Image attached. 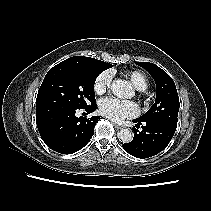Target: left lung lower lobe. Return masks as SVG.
Returning a JSON list of instances; mask_svg holds the SVG:
<instances>
[{"label": "left lung lower lobe", "mask_w": 211, "mask_h": 211, "mask_svg": "<svg viewBox=\"0 0 211 211\" xmlns=\"http://www.w3.org/2000/svg\"><path fill=\"white\" fill-rule=\"evenodd\" d=\"M136 127L142 128L138 132L136 128L134 138L130 143L123 144L124 150L137 158H148L164 150L171 141L175 130L165 124L156 121L133 120Z\"/></svg>", "instance_id": "0a47b994"}]
</instances>
